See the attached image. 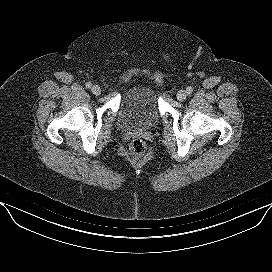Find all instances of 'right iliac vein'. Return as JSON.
<instances>
[{
	"mask_svg": "<svg viewBox=\"0 0 272 272\" xmlns=\"http://www.w3.org/2000/svg\"><path fill=\"white\" fill-rule=\"evenodd\" d=\"M91 91L94 95H99L101 93V88L100 86L98 85H94L92 88H91Z\"/></svg>",
	"mask_w": 272,
	"mask_h": 272,
	"instance_id": "obj_1",
	"label": "right iliac vein"
}]
</instances>
